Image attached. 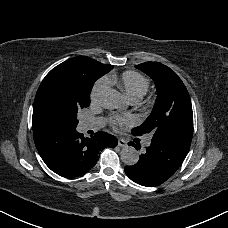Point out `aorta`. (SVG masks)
I'll list each match as a JSON object with an SVG mask.
<instances>
[{"label": "aorta", "mask_w": 228, "mask_h": 228, "mask_svg": "<svg viewBox=\"0 0 228 228\" xmlns=\"http://www.w3.org/2000/svg\"><path fill=\"white\" fill-rule=\"evenodd\" d=\"M102 103L107 109H118L125 106V98L115 89H108L102 96ZM121 160L128 166L135 165L139 160L138 151L131 146H125L121 151Z\"/></svg>", "instance_id": "762f6f07"}]
</instances>
